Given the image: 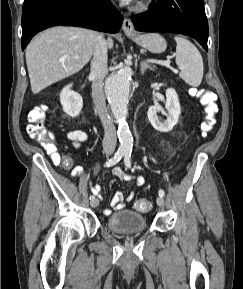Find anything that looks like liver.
<instances>
[{
    "label": "liver",
    "mask_w": 243,
    "mask_h": 289,
    "mask_svg": "<svg viewBox=\"0 0 243 289\" xmlns=\"http://www.w3.org/2000/svg\"><path fill=\"white\" fill-rule=\"evenodd\" d=\"M97 33L81 27L57 26L37 35L26 48V63L34 94L79 72L91 59ZM108 47H113L111 38Z\"/></svg>",
    "instance_id": "obj_1"
}]
</instances>
